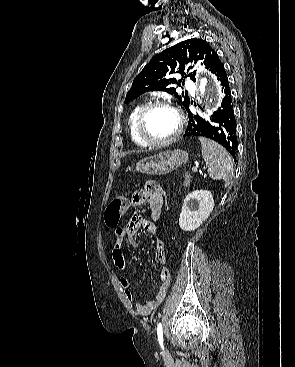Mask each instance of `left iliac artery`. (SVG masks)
<instances>
[{
	"label": "left iliac artery",
	"mask_w": 295,
	"mask_h": 367,
	"mask_svg": "<svg viewBox=\"0 0 295 367\" xmlns=\"http://www.w3.org/2000/svg\"><path fill=\"white\" fill-rule=\"evenodd\" d=\"M157 335H158V341L160 345L163 344V331H162V324L159 323L157 326Z\"/></svg>",
	"instance_id": "1"
}]
</instances>
